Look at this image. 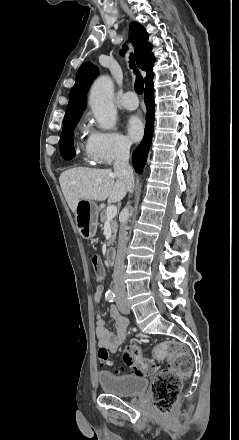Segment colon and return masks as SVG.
Listing matches in <instances>:
<instances>
[{
  "label": "colon",
  "instance_id": "obj_1",
  "mask_svg": "<svg viewBox=\"0 0 239 440\" xmlns=\"http://www.w3.org/2000/svg\"><path fill=\"white\" fill-rule=\"evenodd\" d=\"M91 264L95 279L103 280L105 274L99 257L94 256ZM156 356L166 363L165 368L159 372H156L155 363L143 358L139 346L132 343L126 348L123 361L137 375L155 374L152 385L153 404L159 413H167L175 405L183 381L191 375L193 363L186 348L174 342L158 345ZM98 357L102 365L110 364L107 350L100 349ZM115 371L117 374H122L124 367H117Z\"/></svg>",
  "mask_w": 239,
  "mask_h": 440
}]
</instances>
